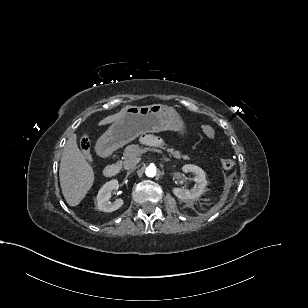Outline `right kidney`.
<instances>
[{
  "label": "right kidney",
  "mask_w": 308,
  "mask_h": 308,
  "mask_svg": "<svg viewBox=\"0 0 308 308\" xmlns=\"http://www.w3.org/2000/svg\"><path fill=\"white\" fill-rule=\"evenodd\" d=\"M118 187V181L116 179L110 180L109 182H106L98 191L97 197H96V206L98 210L104 211V212H113L119 209L124 201L119 198L115 200L113 203L109 201L111 197V191L116 189Z\"/></svg>",
  "instance_id": "ca27d5eb"
}]
</instances>
